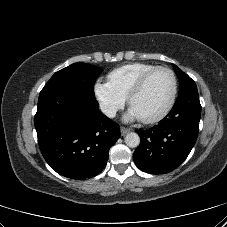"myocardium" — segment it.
Wrapping results in <instances>:
<instances>
[{"label":"myocardium","instance_id":"obj_1","mask_svg":"<svg viewBox=\"0 0 227 227\" xmlns=\"http://www.w3.org/2000/svg\"><path fill=\"white\" fill-rule=\"evenodd\" d=\"M160 70H165L167 71L172 79V91L171 95L169 98L168 103L166 106L156 115L149 117V118H143L140 119L141 122L145 124H153L156 123L160 120H162L173 108L176 98H177V93H178V79L175 74V72L168 66L160 65V66H155L154 68L150 69L149 71L145 72L137 81L136 83L132 86L130 89L128 95H127V103L131 107V102L133 98L143 89L145 84L147 83L148 79L157 71Z\"/></svg>","mask_w":227,"mask_h":227}]
</instances>
